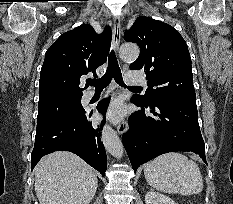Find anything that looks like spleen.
I'll return each instance as SVG.
<instances>
[{
  "mask_svg": "<svg viewBox=\"0 0 233 204\" xmlns=\"http://www.w3.org/2000/svg\"><path fill=\"white\" fill-rule=\"evenodd\" d=\"M147 183L165 193H201L203 179L198 165L181 153H167L145 165Z\"/></svg>",
  "mask_w": 233,
  "mask_h": 204,
  "instance_id": "obj_1",
  "label": "spleen"
}]
</instances>
